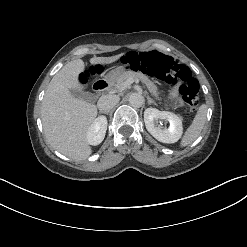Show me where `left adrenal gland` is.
I'll list each match as a JSON object with an SVG mask.
<instances>
[{"instance_id":"a2214340","label":"left adrenal gland","mask_w":247,"mask_h":247,"mask_svg":"<svg viewBox=\"0 0 247 247\" xmlns=\"http://www.w3.org/2000/svg\"><path fill=\"white\" fill-rule=\"evenodd\" d=\"M147 100H148V104H149V105H150V104L157 105L156 102H155L152 98H150L149 96H147Z\"/></svg>"}]
</instances>
